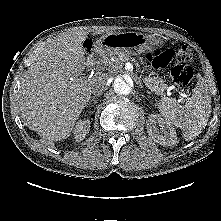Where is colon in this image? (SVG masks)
<instances>
[{
	"label": "colon",
	"instance_id": "colon-1",
	"mask_svg": "<svg viewBox=\"0 0 221 221\" xmlns=\"http://www.w3.org/2000/svg\"><path fill=\"white\" fill-rule=\"evenodd\" d=\"M173 57L171 50L164 52L155 51L149 58L155 67H164L171 61ZM193 53L188 46H182L176 54V61L170 66V75L172 80L179 86L187 85L193 76L192 69L185 65L192 61Z\"/></svg>",
	"mask_w": 221,
	"mask_h": 221
}]
</instances>
